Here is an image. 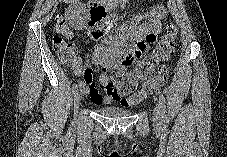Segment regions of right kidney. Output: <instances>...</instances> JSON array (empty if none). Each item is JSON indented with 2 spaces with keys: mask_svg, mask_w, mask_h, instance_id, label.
Wrapping results in <instances>:
<instances>
[{
  "mask_svg": "<svg viewBox=\"0 0 227 157\" xmlns=\"http://www.w3.org/2000/svg\"><path fill=\"white\" fill-rule=\"evenodd\" d=\"M80 12H82V10L79 9L78 6H70L67 11H66V17L69 20L70 24H72L73 26H77L79 21H80Z\"/></svg>",
  "mask_w": 227,
  "mask_h": 157,
  "instance_id": "right-kidney-1",
  "label": "right kidney"
}]
</instances>
